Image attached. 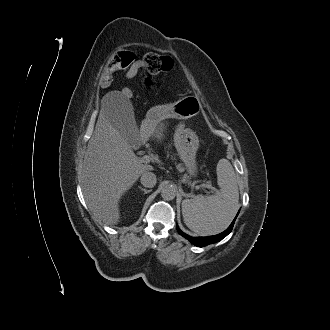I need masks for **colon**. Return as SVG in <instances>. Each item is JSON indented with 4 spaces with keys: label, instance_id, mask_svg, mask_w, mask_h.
I'll list each match as a JSON object with an SVG mask.
<instances>
[{
    "label": "colon",
    "instance_id": "colon-1",
    "mask_svg": "<svg viewBox=\"0 0 330 330\" xmlns=\"http://www.w3.org/2000/svg\"><path fill=\"white\" fill-rule=\"evenodd\" d=\"M135 61V56L131 51L124 50L115 53L105 65L101 80L106 83L112 81V74L118 70L128 68ZM146 72L150 75H156L162 72L170 71L173 68V60L169 56L150 53L143 58ZM145 85L148 87H156L157 83L146 79ZM122 94L126 97L132 95V91L128 88L122 89Z\"/></svg>",
    "mask_w": 330,
    "mask_h": 330
}]
</instances>
